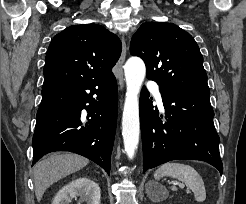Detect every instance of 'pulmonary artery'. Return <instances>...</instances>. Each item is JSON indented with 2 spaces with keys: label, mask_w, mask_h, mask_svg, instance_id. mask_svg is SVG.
<instances>
[{
  "label": "pulmonary artery",
  "mask_w": 246,
  "mask_h": 204,
  "mask_svg": "<svg viewBox=\"0 0 246 204\" xmlns=\"http://www.w3.org/2000/svg\"><path fill=\"white\" fill-rule=\"evenodd\" d=\"M148 87L149 89L152 91L154 97L156 98V100L161 103L162 102V97L159 91V87L156 83L154 82H149L148 83Z\"/></svg>",
  "instance_id": "e3ab8cb5"
}]
</instances>
